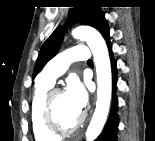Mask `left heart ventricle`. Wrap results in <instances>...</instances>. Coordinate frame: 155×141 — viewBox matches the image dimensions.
<instances>
[{
  "label": "left heart ventricle",
  "instance_id": "obj_1",
  "mask_svg": "<svg viewBox=\"0 0 155 141\" xmlns=\"http://www.w3.org/2000/svg\"><path fill=\"white\" fill-rule=\"evenodd\" d=\"M53 108L54 116L62 127H72L80 118V115L71 107L64 93L56 95Z\"/></svg>",
  "mask_w": 155,
  "mask_h": 141
}]
</instances>
